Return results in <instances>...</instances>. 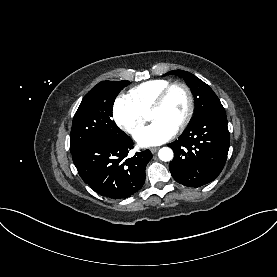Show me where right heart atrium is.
<instances>
[{
    "label": "right heart atrium",
    "mask_w": 277,
    "mask_h": 277,
    "mask_svg": "<svg viewBox=\"0 0 277 277\" xmlns=\"http://www.w3.org/2000/svg\"><path fill=\"white\" fill-rule=\"evenodd\" d=\"M116 124L128 134L134 135L143 125V113L126 95L118 96L112 108Z\"/></svg>",
    "instance_id": "1"
}]
</instances>
